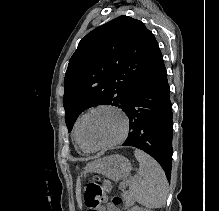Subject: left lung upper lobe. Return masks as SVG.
Masks as SVG:
<instances>
[{"label": "left lung upper lobe", "mask_w": 219, "mask_h": 211, "mask_svg": "<svg viewBox=\"0 0 219 211\" xmlns=\"http://www.w3.org/2000/svg\"><path fill=\"white\" fill-rule=\"evenodd\" d=\"M162 59L152 32L129 16L88 33L70 58L64 78L69 132L87 108L106 104L124 111L136 86Z\"/></svg>", "instance_id": "left-lung-upper-lobe-1"}]
</instances>
